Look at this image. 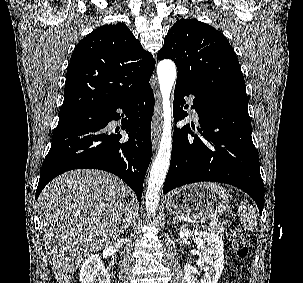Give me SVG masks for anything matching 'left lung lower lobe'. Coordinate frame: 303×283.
Returning <instances> with one entry per match:
<instances>
[{
	"instance_id": "0a47b994",
	"label": "left lung lower lobe",
	"mask_w": 303,
	"mask_h": 283,
	"mask_svg": "<svg viewBox=\"0 0 303 283\" xmlns=\"http://www.w3.org/2000/svg\"><path fill=\"white\" fill-rule=\"evenodd\" d=\"M194 96L203 139L189 124L173 133L171 163L163 193L185 184L211 181L233 185L249 194L260 214L264 206V185L259 157L251 137L248 99L237 95L205 91L176 82L174 119H184V96ZM191 134V137L188 136Z\"/></svg>"
}]
</instances>
